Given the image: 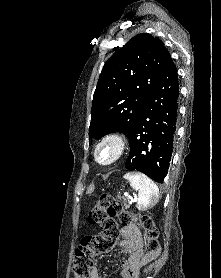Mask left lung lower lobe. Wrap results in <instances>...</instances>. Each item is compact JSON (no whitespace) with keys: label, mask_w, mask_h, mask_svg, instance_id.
<instances>
[{"label":"left lung lower lobe","mask_w":221,"mask_h":278,"mask_svg":"<svg viewBox=\"0 0 221 278\" xmlns=\"http://www.w3.org/2000/svg\"><path fill=\"white\" fill-rule=\"evenodd\" d=\"M178 101L177 69L170 59L128 137L127 169L138 170L163 183L172 155Z\"/></svg>","instance_id":"1"}]
</instances>
